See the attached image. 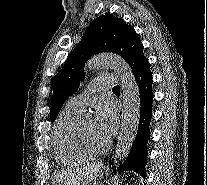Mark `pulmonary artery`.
<instances>
[{"instance_id":"obj_1","label":"pulmonary artery","mask_w":207,"mask_h":185,"mask_svg":"<svg viewBox=\"0 0 207 185\" xmlns=\"http://www.w3.org/2000/svg\"><path fill=\"white\" fill-rule=\"evenodd\" d=\"M119 85V77H96V81H89V86H84V91H113V86ZM89 100V94L83 93L72 98L66 104V110L81 114Z\"/></svg>"}]
</instances>
